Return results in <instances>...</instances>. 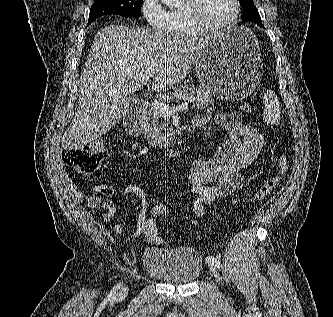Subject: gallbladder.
<instances>
[{"label": "gallbladder", "mask_w": 333, "mask_h": 317, "mask_svg": "<svg viewBox=\"0 0 333 317\" xmlns=\"http://www.w3.org/2000/svg\"><path fill=\"white\" fill-rule=\"evenodd\" d=\"M123 102L125 104V106L128 108V109H133L134 107H136V104L138 102V98L136 96H125L123 98Z\"/></svg>", "instance_id": "gallbladder-1"}]
</instances>
